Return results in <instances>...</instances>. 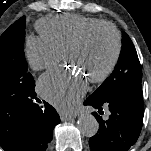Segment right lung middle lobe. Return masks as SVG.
<instances>
[{"instance_id":"obj_1","label":"right lung middle lobe","mask_w":151,"mask_h":151,"mask_svg":"<svg viewBox=\"0 0 151 151\" xmlns=\"http://www.w3.org/2000/svg\"><path fill=\"white\" fill-rule=\"evenodd\" d=\"M25 16L12 24L0 37V99L17 105L28 104L33 92L32 75L24 56Z\"/></svg>"}]
</instances>
